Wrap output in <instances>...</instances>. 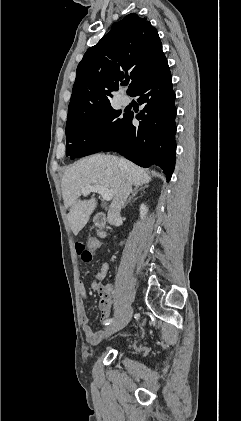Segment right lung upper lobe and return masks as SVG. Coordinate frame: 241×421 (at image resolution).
Here are the masks:
<instances>
[{"mask_svg":"<svg viewBox=\"0 0 241 421\" xmlns=\"http://www.w3.org/2000/svg\"><path fill=\"white\" fill-rule=\"evenodd\" d=\"M163 57L157 30L146 18L131 13L114 23L77 67L66 124L110 107L125 77L132 80L127 91L131 95Z\"/></svg>","mask_w":241,"mask_h":421,"instance_id":"obj_1","label":"right lung upper lobe"}]
</instances>
